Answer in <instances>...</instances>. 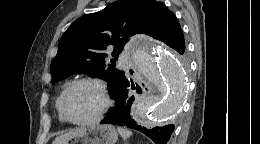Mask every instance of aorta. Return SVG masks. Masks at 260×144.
Listing matches in <instances>:
<instances>
[{
  "label": "aorta",
  "mask_w": 260,
  "mask_h": 144,
  "mask_svg": "<svg viewBox=\"0 0 260 144\" xmlns=\"http://www.w3.org/2000/svg\"><path fill=\"white\" fill-rule=\"evenodd\" d=\"M130 49L137 70L155 88L135 105L137 120L143 126L162 122L178 111L184 96L186 79L179 57L143 38L132 40Z\"/></svg>",
  "instance_id": "762f6f07"
}]
</instances>
